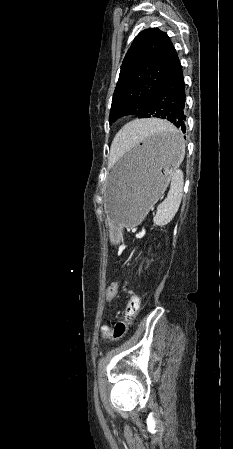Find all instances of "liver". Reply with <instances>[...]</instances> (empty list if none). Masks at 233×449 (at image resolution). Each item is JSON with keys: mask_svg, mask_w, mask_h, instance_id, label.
Masks as SVG:
<instances>
[{"mask_svg": "<svg viewBox=\"0 0 233 449\" xmlns=\"http://www.w3.org/2000/svg\"><path fill=\"white\" fill-rule=\"evenodd\" d=\"M143 121L142 125H149L151 123H158L161 124L164 127L170 128L172 127L169 123L165 122V121H160V120H141ZM135 122H132L128 125H126L119 133L116 134V137L113 141L112 144V153H117L118 148L120 147V145L123 142H128L129 141V137L131 135L135 134V131L137 130L136 126L134 125Z\"/></svg>", "mask_w": 233, "mask_h": 449, "instance_id": "obj_1", "label": "liver"}]
</instances>
